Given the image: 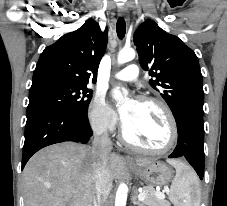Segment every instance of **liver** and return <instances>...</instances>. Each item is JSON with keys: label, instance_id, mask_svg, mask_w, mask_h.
I'll return each mask as SVG.
<instances>
[{"label": "liver", "instance_id": "6515ba94", "mask_svg": "<svg viewBox=\"0 0 227 206\" xmlns=\"http://www.w3.org/2000/svg\"><path fill=\"white\" fill-rule=\"evenodd\" d=\"M95 160L92 147L71 142L38 151L23 170L25 206H93ZM152 161L137 160L141 165ZM107 165L112 179L122 175L120 156L110 153Z\"/></svg>", "mask_w": 227, "mask_h": 206}]
</instances>
